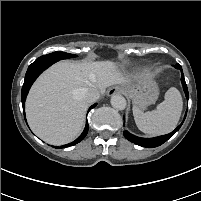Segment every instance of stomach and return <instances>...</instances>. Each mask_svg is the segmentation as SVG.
Masks as SVG:
<instances>
[{
    "mask_svg": "<svg viewBox=\"0 0 201 201\" xmlns=\"http://www.w3.org/2000/svg\"><path fill=\"white\" fill-rule=\"evenodd\" d=\"M120 89L140 109L154 103L159 95L158 86L149 74L134 83L121 85Z\"/></svg>",
    "mask_w": 201,
    "mask_h": 201,
    "instance_id": "0dacf381",
    "label": "stomach"
}]
</instances>
